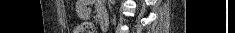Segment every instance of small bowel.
<instances>
[{
  "label": "small bowel",
  "mask_w": 235,
  "mask_h": 33,
  "mask_svg": "<svg viewBox=\"0 0 235 33\" xmlns=\"http://www.w3.org/2000/svg\"><path fill=\"white\" fill-rule=\"evenodd\" d=\"M88 7H89V5H88L87 1H79L77 3V12L79 14H84V12L88 10ZM95 10H96L98 16H100L101 14H105L104 5L101 2L95 3Z\"/></svg>",
  "instance_id": "obj_1"
}]
</instances>
